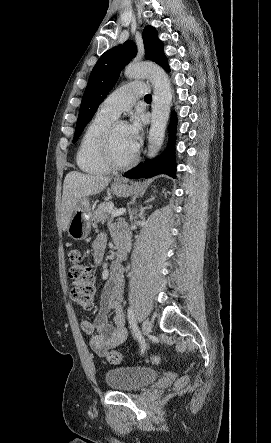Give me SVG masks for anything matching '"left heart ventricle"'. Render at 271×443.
Instances as JSON below:
<instances>
[{
  "label": "left heart ventricle",
  "mask_w": 271,
  "mask_h": 443,
  "mask_svg": "<svg viewBox=\"0 0 271 443\" xmlns=\"http://www.w3.org/2000/svg\"><path fill=\"white\" fill-rule=\"evenodd\" d=\"M113 149L115 157L120 162L129 160L136 153L128 141L124 124L117 125L114 131Z\"/></svg>",
  "instance_id": "b2bd125f"
}]
</instances>
